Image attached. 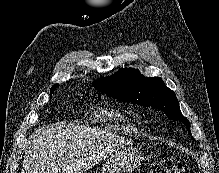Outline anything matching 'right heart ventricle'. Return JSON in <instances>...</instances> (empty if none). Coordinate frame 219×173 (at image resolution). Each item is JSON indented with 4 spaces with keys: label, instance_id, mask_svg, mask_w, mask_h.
Instances as JSON below:
<instances>
[{
    "label": "right heart ventricle",
    "instance_id": "e07e8e85",
    "mask_svg": "<svg viewBox=\"0 0 219 173\" xmlns=\"http://www.w3.org/2000/svg\"><path fill=\"white\" fill-rule=\"evenodd\" d=\"M94 115L114 131L121 133L135 131L126 113L118 107H100L96 109Z\"/></svg>",
    "mask_w": 219,
    "mask_h": 173
}]
</instances>
